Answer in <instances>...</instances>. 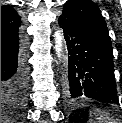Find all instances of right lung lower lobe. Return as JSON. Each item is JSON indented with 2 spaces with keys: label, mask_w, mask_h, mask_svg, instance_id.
<instances>
[{
  "label": "right lung lower lobe",
  "mask_w": 122,
  "mask_h": 123,
  "mask_svg": "<svg viewBox=\"0 0 122 123\" xmlns=\"http://www.w3.org/2000/svg\"><path fill=\"white\" fill-rule=\"evenodd\" d=\"M26 41L20 25H1V97L11 94L16 102L26 92L28 73Z\"/></svg>",
  "instance_id": "1"
}]
</instances>
